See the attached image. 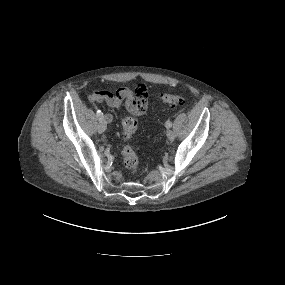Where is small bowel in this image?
<instances>
[{
	"label": "small bowel",
	"mask_w": 285,
	"mask_h": 285,
	"mask_svg": "<svg viewBox=\"0 0 285 285\" xmlns=\"http://www.w3.org/2000/svg\"><path fill=\"white\" fill-rule=\"evenodd\" d=\"M88 100L93 104L105 103L110 107L125 105L127 110L136 116H141L148 110V91L145 89L142 95H137L135 90L129 88H119L114 92L97 90L89 94ZM104 119L108 125L113 121L110 114H105Z\"/></svg>",
	"instance_id": "small-bowel-1"
}]
</instances>
